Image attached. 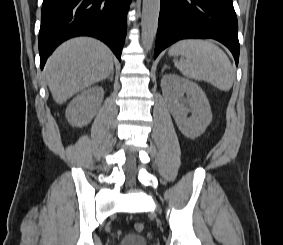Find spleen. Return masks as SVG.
<instances>
[{
  "instance_id": "1",
  "label": "spleen",
  "mask_w": 283,
  "mask_h": 245,
  "mask_svg": "<svg viewBox=\"0 0 283 245\" xmlns=\"http://www.w3.org/2000/svg\"><path fill=\"white\" fill-rule=\"evenodd\" d=\"M169 54L183 56L174 64L184 76L206 81L222 91L232 88L234 69L224 51L211 41L184 39L172 45Z\"/></svg>"
}]
</instances>
